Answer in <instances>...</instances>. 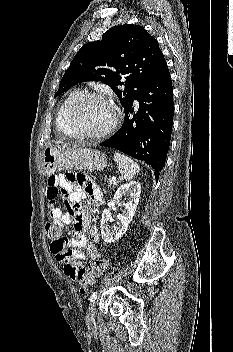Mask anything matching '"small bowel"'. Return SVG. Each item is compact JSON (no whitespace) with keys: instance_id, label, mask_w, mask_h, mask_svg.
Returning a JSON list of instances; mask_svg holds the SVG:
<instances>
[{"instance_id":"1","label":"small bowel","mask_w":233,"mask_h":352,"mask_svg":"<svg viewBox=\"0 0 233 352\" xmlns=\"http://www.w3.org/2000/svg\"><path fill=\"white\" fill-rule=\"evenodd\" d=\"M58 197H61L66 211H62L56 205ZM102 197L98 186L82 174L70 171L48 179L47 200L50 222L71 235L64 247L53 242L51 252L62 264L64 273L73 280L84 266L87 257L93 260L100 257L96 246L100 240L99 230L97 226L91 224L84 202L89 198L99 203ZM81 248L85 252L81 251Z\"/></svg>"}]
</instances>
